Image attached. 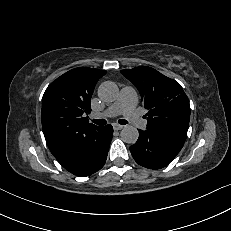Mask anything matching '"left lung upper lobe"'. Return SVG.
<instances>
[{
    "instance_id": "obj_1",
    "label": "left lung upper lobe",
    "mask_w": 231,
    "mask_h": 231,
    "mask_svg": "<svg viewBox=\"0 0 231 231\" xmlns=\"http://www.w3.org/2000/svg\"><path fill=\"white\" fill-rule=\"evenodd\" d=\"M121 73L137 87L145 109L147 127L186 137L190 105L181 85L157 70L140 66Z\"/></svg>"
}]
</instances>
